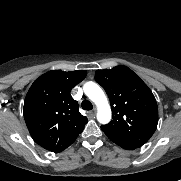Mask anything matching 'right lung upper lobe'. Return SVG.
I'll return each instance as SVG.
<instances>
[{"instance_id": "obj_1", "label": "right lung upper lobe", "mask_w": 181, "mask_h": 181, "mask_svg": "<svg viewBox=\"0 0 181 181\" xmlns=\"http://www.w3.org/2000/svg\"><path fill=\"white\" fill-rule=\"evenodd\" d=\"M86 75L85 70H51L30 87L24 101V119L33 140L46 150L63 151L83 131L88 120L70 92Z\"/></svg>"}]
</instances>
